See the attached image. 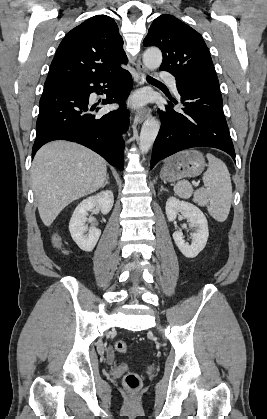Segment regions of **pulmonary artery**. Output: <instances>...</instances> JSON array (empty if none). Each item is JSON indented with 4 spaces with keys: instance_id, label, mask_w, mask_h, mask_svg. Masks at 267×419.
Returning <instances> with one entry per match:
<instances>
[{
    "instance_id": "obj_1",
    "label": "pulmonary artery",
    "mask_w": 267,
    "mask_h": 419,
    "mask_svg": "<svg viewBox=\"0 0 267 419\" xmlns=\"http://www.w3.org/2000/svg\"><path fill=\"white\" fill-rule=\"evenodd\" d=\"M160 77L168 83V85L171 87L173 91H177L176 79L173 75L166 72H162L160 73Z\"/></svg>"
}]
</instances>
